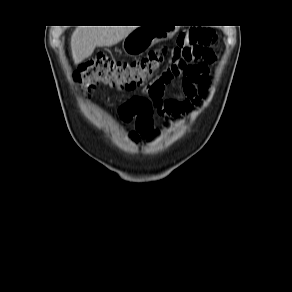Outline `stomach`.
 I'll return each mask as SVG.
<instances>
[{"mask_svg":"<svg viewBox=\"0 0 292 292\" xmlns=\"http://www.w3.org/2000/svg\"><path fill=\"white\" fill-rule=\"evenodd\" d=\"M174 29L161 31L156 27H137L123 40V50L130 56L142 55L153 45L161 41L164 36L172 35Z\"/></svg>","mask_w":292,"mask_h":292,"instance_id":"obj_1","label":"stomach"}]
</instances>
